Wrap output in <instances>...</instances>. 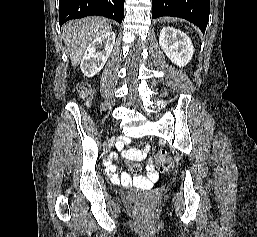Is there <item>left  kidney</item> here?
<instances>
[{"label":"left kidney","instance_id":"left-kidney-1","mask_svg":"<svg viewBox=\"0 0 257 237\" xmlns=\"http://www.w3.org/2000/svg\"><path fill=\"white\" fill-rule=\"evenodd\" d=\"M159 44L165 54L179 67L192 59L194 48L190 38L183 32L171 27H164L159 36Z\"/></svg>","mask_w":257,"mask_h":237}]
</instances>
